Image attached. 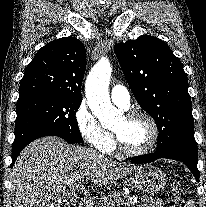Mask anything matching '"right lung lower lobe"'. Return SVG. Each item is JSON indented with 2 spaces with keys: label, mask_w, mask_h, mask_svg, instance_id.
Instances as JSON below:
<instances>
[{
  "label": "right lung lower lobe",
  "mask_w": 206,
  "mask_h": 207,
  "mask_svg": "<svg viewBox=\"0 0 206 207\" xmlns=\"http://www.w3.org/2000/svg\"><path fill=\"white\" fill-rule=\"evenodd\" d=\"M50 135H55V134H46V135H41V136H38L34 139H32L31 141L27 142L26 144L20 146L19 148H16V149H12V164H11V167L13 166V164L15 163V160L17 158V156L19 155V153L22 151V149L28 145L30 142H32L33 140L37 139V138H40V137H43V136H50ZM55 136H58V135H55ZM61 138H63L64 140H66L67 142L69 143H76L75 141H72V140H69V139H66L62 136H59Z\"/></svg>",
  "instance_id": "obj_1"
}]
</instances>
